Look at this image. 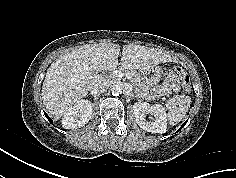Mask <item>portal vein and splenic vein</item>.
Masks as SVG:
<instances>
[{
	"mask_svg": "<svg viewBox=\"0 0 236 178\" xmlns=\"http://www.w3.org/2000/svg\"><path fill=\"white\" fill-rule=\"evenodd\" d=\"M111 75L119 79L125 76L128 80H131V76L129 74L123 73L122 71L115 70Z\"/></svg>",
	"mask_w": 236,
	"mask_h": 178,
	"instance_id": "portal-vein-and-splenic-vein-1",
	"label": "portal vein and splenic vein"
}]
</instances>
